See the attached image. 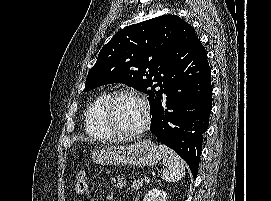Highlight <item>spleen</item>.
Here are the masks:
<instances>
[{"label":"spleen","instance_id":"1","mask_svg":"<svg viewBox=\"0 0 271 201\" xmlns=\"http://www.w3.org/2000/svg\"><path fill=\"white\" fill-rule=\"evenodd\" d=\"M159 151L165 165L162 179L166 182H177L185 175L184 161L169 147L160 144Z\"/></svg>","mask_w":271,"mask_h":201}]
</instances>
